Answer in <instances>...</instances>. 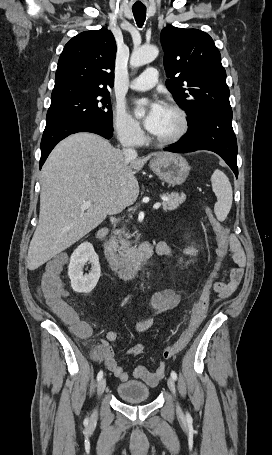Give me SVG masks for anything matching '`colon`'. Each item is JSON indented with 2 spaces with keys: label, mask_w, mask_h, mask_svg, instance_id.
<instances>
[{
  "label": "colon",
  "mask_w": 272,
  "mask_h": 455,
  "mask_svg": "<svg viewBox=\"0 0 272 455\" xmlns=\"http://www.w3.org/2000/svg\"><path fill=\"white\" fill-rule=\"evenodd\" d=\"M210 218L217 240L216 261L199 299L192 307L189 325L175 343L162 351V357L164 359H168L184 349L204 320L211 302L213 284L228 254V229L225 225L217 221L212 214H210ZM63 262L64 258L59 256L47 263L40 278L39 295L63 321L72 326L76 334L86 337L90 334L89 326L79 320L75 309L66 302L67 291L61 278Z\"/></svg>",
  "instance_id": "5ec220e1"
}]
</instances>
